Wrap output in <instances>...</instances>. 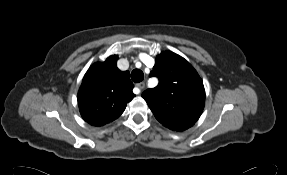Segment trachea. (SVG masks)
Listing matches in <instances>:
<instances>
[{"instance_id":"obj_1","label":"trachea","mask_w":287,"mask_h":175,"mask_svg":"<svg viewBox=\"0 0 287 175\" xmlns=\"http://www.w3.org/2000/svg\"><path fill=\"white\" fill-rule=\"evenodd\" d=\"M131 79L135 83H139L144 79V74L141 70L135 69L131 72Z\"/></svg>"}]
</instances>
